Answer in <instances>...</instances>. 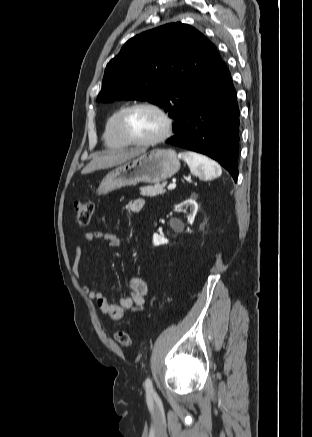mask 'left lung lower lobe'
<instances>
[{
	"label": "left lung lower lobe",
	"mask_w": 312,
	"mask_h": 437,
	"mask_svg": "<svg viewBox=\"0 0 312 437\" xmlns=\"http://www.w3.org/2000/svg\"><path fill=\"white\" fill-rule=\"evenodd\" d=\"M239 108L230 72L218 73L189 104L166 143L211 157L238 177Z\"/></svg>",
	"instance_id": "0a47b994"
}]
</instances>
